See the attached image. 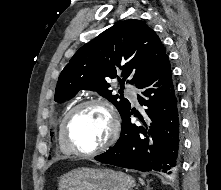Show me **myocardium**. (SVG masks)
<instances>
[{"label": "myocardium", "mask_w": 221, "mask_h": 190, "mask_svg": "<svg viewBox=\"0 0 221 190\" xmlns=\"http://www.w3.org/2000/svg\"><path fill=\"white\" fill-rule=\"evenodd\" d=\"M90 105H101L103 106L109 113L110 118H111V130H110V135L107 138V140L101 144L100 146L86 150L78 147L72 140L70 134H69V129H70V124L75 116V114L81 110L82 108ZM61 133H62V138L65 144L68 146V148L77 155H82V156H91L95 155L98 153H101L108 148H110L117 140L119 133H120V119L119 115L114 107V105L105 98L102 97H94L90 99L83 100L76 105H74L69 111L66 113L65 117L63 118L62 124H61Z\"/></svg>", "instance_id": "f54148a6"}]
</instances>
